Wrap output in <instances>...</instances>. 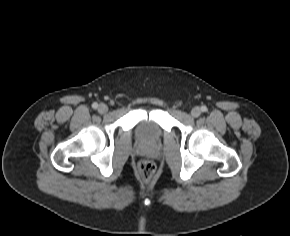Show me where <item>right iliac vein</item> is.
<instances>
[{
  "mask_svg": "<svg viewBox=\"0 0 290 236\" xmlns=\"http://www.w3.org/2000/svg\"><path fill=\"white\" fill-rule=\"evenodd\" d=\"M108 111V107L106 104L104 103H101L99 106H98V112L101 113V114H104Z\"/></svg>",
  "mask_w": 290,
  "mask_h": 236,
  "instance_id": "1",
  "label": "right iliac vein"
}]
</instances>
